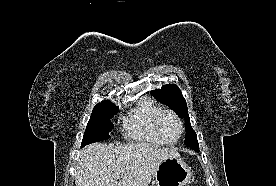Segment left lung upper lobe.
I'll return each mask as SVG.
<instances>
[{"label": "left lung upper lobe", "mask_w": 276, "mask_h": 186, "mask_svg": "<svg viewBox=\"0 0 276 186\" xmlns=\"http://www.w3.org/2000/svg\"><path fill=\"white\" fill-rule=\"evenodd\" d=\"M151 94L157 100H160L163 104L169 106L173 111L178 114L180 118H184L186 120L185 145L187 147H191L192 149L198 147L199 144L197 141V135L190 123L186 100L184 99L178 86L175 84L164 85L161 89L151 91Z\"/></svg>", "instance_id": "1"}]
</instances>
